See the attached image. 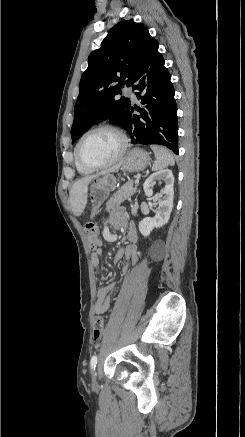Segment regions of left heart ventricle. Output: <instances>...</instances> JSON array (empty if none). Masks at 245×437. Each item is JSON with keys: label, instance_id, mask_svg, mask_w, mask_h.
I'll list each match as a JSON object with an SVG mask.
<instances>
[{"label": "left heart ventricle", "instance_id": "b2bd125f", "mask_svg": "<svg viewBox=\"0 0 245 437\" xmlns=\"http://www.w3.org/2000/svg\"><path fill=\"white\" fill-rule=\"evenodd\" d=\"M121 148L120 137L110 130H98L89 134L81 145L82 157L94 164L112 160Z\"/></svg>", "mask_w": 245, "mask_h": 437}]
</instances>
